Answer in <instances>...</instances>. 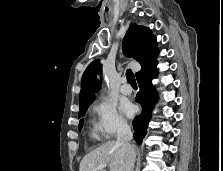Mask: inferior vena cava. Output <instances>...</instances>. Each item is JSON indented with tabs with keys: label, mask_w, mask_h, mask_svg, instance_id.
Listing matches in <instances>:
<instances>
[{
	"label": "inferior vena cava",
	"mask_w": 223,
	"mask_h": 171,
	"mask_svg": "<svg viewBox=\"0 0 223 171\" xmlns=\"http://www.w3.org/2000/svg\"><path fill=\"white\" fill-rule=\"evenodd\" d=\"M132 131L128 124L121 123L117 133V144L122 146L126 152V161L124 171H133L135 162L134 146L130 144L132 139Z\"/></svg>",
	"instance_id": "inferior-vena-cava-1"
}]
</instances>
